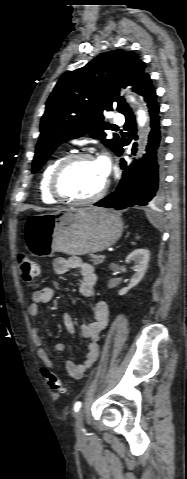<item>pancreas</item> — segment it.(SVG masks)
I'll use <instances>...</instances> for the list:
<instances>
[{"instance_id": "pancreas-1", "label": "pancreas", "mask_w": 187, "mask_h": 479, "mask_svg": "<svg viewBox=\"0 0 187 479\" xmlns=\"http://www.w3.org/2000/svg\"><path fill=\"white\" fill-rule=\"evenodd\" d=\"M90 258H91V262H92L94 265H98V264L102 263L103 260H104V259H102L101 256H99V255H91Z\"/></svg>"}]
</instances>
